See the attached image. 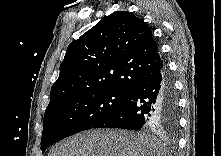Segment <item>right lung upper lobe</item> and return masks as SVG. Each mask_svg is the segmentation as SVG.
<instances>
[{"mask_svg":"<svg viewBox=\"0 0 221 156\" xmlns=\"http://www.w3.org/2000/svg\"><path fill=\"white\" fill-rule=\"evenodd\" d=\"M164 66L146 23L127 11L114 12L69 44L48 107L84 93L129 92Z\"/></svg>","mask_w":221,"mask_h":156,"instance_id":"1","label":"right lung upper lobe"}]
</instances>
